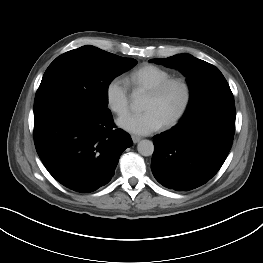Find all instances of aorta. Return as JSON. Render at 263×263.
Wrapping results in <instances>:
<instances>
[{
  "mask_svg": "<svg viewBox=\"0 0 263 263\" xmlns=\"http://www.w3.org/2000/svg\"><path fill=\"white\" fill-rule=\"evenodd\" d=\"M142 106V97L137 94H132L131 108L133 110H138ZM137 150L142 156H151L154 152V144L150 140H141L137 145Z\"/></svg>",
  "mask_w": 263,
  "mask_h": 263,
  "instance_id": "762f6f07",
  "label": "aorta"
}]
</instances>
